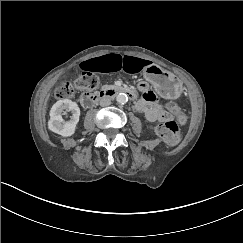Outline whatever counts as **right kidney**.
Wrapping results in <instances>:
<instances>
[{
    "mask_svg": "<svg viewBox=\"0 0 243 243\" xmlns=\"http://www.w3.org/2000/svg\"><path fill=\"white\" fill-rule=\"evenodd\" d=\"M65 110L73 112V117L69 121L63 120L62 113ZM80 108L75 101L70 99H62L57 101L50 110V120L48 121V128L54 133L62 137H70L74 135L77 123L79 121Z\"/></svg>",
    "mask_w": 243,
    "mask_h": 243,
    "instance_id": "1",
    "label": "right kidney"
}]
</instances>
